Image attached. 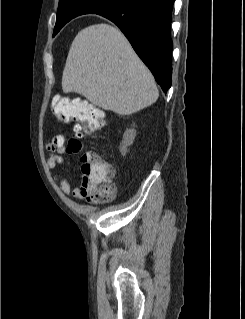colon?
<instances>
[{
    "mask_svg": "<svg viewBox=\"0 0 245 319\" xmlns=\"http://www.w3.org/2000/svg\"><path fill=\"white\" fill-rule=\"evenodd\" d=\"M54 114L64 122L74 123L75 138L68 143V149L80 153V138L104 127V114L98 108L79 100L57 97L53 102ZM114 171L95 153H82L80 157V192L92 203H106L115 194Z\"/></svg>",
    "mask_w": 245,
    "mask_h": 319,
    "instance_id": "1",
    "label": "colon"
}]
</instances>
